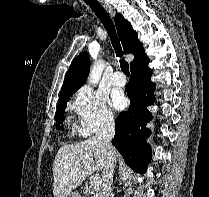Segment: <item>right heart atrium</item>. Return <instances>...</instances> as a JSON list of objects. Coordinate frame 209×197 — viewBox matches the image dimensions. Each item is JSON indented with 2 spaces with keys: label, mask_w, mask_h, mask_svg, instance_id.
Instances as JSON below:
<instances>
[{
  "label": "right heart atrium",
  "mask_w": 209,
  "mask_h": 197,
  "mask_svg": "<svg viewBox=\"0 0 209 197\" xmlns=\"http://www.w3.org/2000/svg\"><path fill=\"white\" fill-rule=\"evenodd\" d=\"M70 108L79 120L78 132L83 137H88L114 123L115 116L106 96L89 86L82 87L75 94Z\"/></svg>",
  "instance_id": "1"
}]
</instances>
